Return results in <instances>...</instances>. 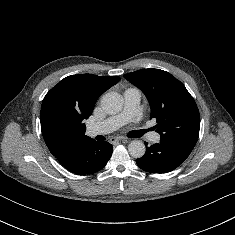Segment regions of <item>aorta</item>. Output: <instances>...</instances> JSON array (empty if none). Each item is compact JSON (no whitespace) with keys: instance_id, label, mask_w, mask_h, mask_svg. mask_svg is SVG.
I'll return each mask as SVG.
<instances>
[{"instance_id":"762f6f07","label":"aorta","mask_w":235,"mask_h":235,"mask_svg":"<svg viewBox=\"0 0 235 235\" xmlns=\"http://www.w3.org/2000/svg\"><path fill=\"white\" fill-rule=\"evenodd\" d=\"M101 108L107 114L114 115L119 113L123 108V100L118 93L109 92L101 98ZM129 154L134 158L144 156L146 147L140 140H133L128 145Z\"/></svg>"}]
</instances>
